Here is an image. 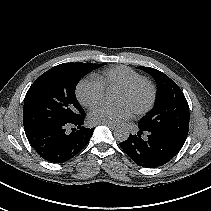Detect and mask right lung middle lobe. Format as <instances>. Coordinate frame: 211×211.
Instances as JSON below:
<instances>
[{
  "instance_id": "dd1d6c3e",
  "label": "right lung middle lobe",
  "mask_w": 211,
  "mask_h": 211,
  "mask_svg": "<svg viewBox=\"0 0 211 211\" xmlns=\"http://www.w3.org/2000/svg\"><path fill=\"white\" fill-rule=\"evenodd\" d=\"M104 64L63 63L43 73L29 88L23 107L24 128L66 124L85 115L75 96L79 80Z\"/></svg>"
}]
</instances>
